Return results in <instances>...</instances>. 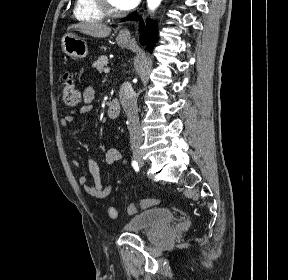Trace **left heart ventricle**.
Here are the masks:
<instances>
[{
    "instance_id": "b2bd125f",
    "label": "left heart ventricle",
    "mask_w": 288,
    "mask_h": 280,
    "mask_svg": "<svg viewBox=\"0 0 288 280\" xmlns=\"http://www.w3.org/2000/svg\"><path fill=\"white\" fill-rule=\"evenodd\" d=\"M109 2H110V4H111L115 9H118L115 0H109Z\"/></svg>"
}]
</instances>
